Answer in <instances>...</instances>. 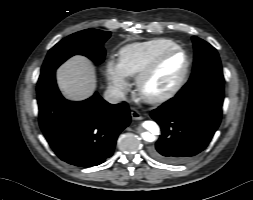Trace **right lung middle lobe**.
I'll use <instances>...</instances> for the list:
<instances>
[{
    "instance_id": "right-lung-middle-lobe-1",
    "label": "right lung middle lobe",
    "mask_w": 253,
    "mask_h": 200,
    "mask_svg": "<svg viewBox=\"0 0 253 200\" xmlns=\"http://www.w3.org/2000/svg\"><path fill=\"white\" fill-rule=\"evenodd\" d=\"M110 32L96 29H86L74 33L57 43L47 54L41 72L55 70L69 57L85 55L96 63L104 60V42L110 37Z\"/></svg>"
}]
</instances>
